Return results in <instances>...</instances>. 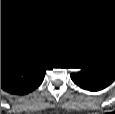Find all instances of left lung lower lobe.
Segmentation results:
<instances>
[{
	"label": "left lung lower lobe",
	"instance_id": "0a47b994",
	"mask_svg": "<svg viewBox=\"0 0 115 114\" xmlns=\"http://www.w3.org/2000/svg\"><path fill=\"white\" fill-rule=\"evenodd\" d=\"M81 71L72 73L71 79L79 87L89 91H99L109 86L115 80V71L101 64L80 61Z\"/></svg>",
	"mask_w": 115,
	"mask_h": 114
}]
</instances>
